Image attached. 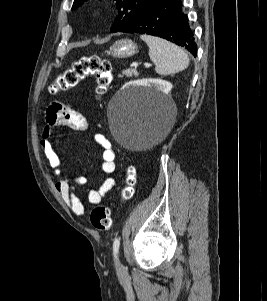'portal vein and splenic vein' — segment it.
Here are the masks:
<instances>
[{
	"mask_svg": "<svg viewBox=\"0 0 267 301\" xmlns=\"http://www.w3.org/2000/svg\"><path fill=\"white\" fill-rule=\"evenodd\" d=\"M138 65H139L138 63L134 62V63L131 64V67H135L136 68V67H138Z\"/></svg>",
	"mask_w": 267,
	"mask_h": 301,
	"instance_id": "obj_1",
	"label": "portal vein and splenic vein"
}]
</instances>
